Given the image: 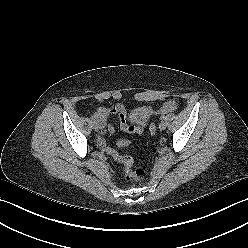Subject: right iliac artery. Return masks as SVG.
I'll return each mask as SVG.
<instances>
[{
	"label": "right iliac artery",
	"instance_id": "obj_1",
	"mask_svg": "<svg viewBox=\"0 0 248 248\" xmlns=\"http://www.w3.org/2000/svg\"><path fill=\"white\" fill-rule=\"evenodd\" d=\"M90 119H91V121H94L95 122L96 117L95 116H91Z\"/></svg>",
	"mask_w": 248,
	"mask_h": 248
}]
</instances>
